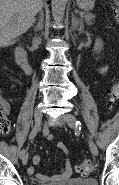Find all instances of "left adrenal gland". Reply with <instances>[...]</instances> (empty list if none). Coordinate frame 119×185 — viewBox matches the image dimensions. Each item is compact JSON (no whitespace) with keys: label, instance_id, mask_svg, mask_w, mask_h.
<instances>
[{"label":"left adrenal gland","instance_id":"1","mask_svg":"<svg viewBox=\"0 0 119 185\" xmlns=\"http://www.w3.org/2000/svg\"><path fill=\"white\" fill-rule=\"evenodd\" d=\"M72 23L75 30L77 29L79 33L83 32V21L81 18L78 19L72 15Z\"/></svg>","mask_w":119,"mask_h":185}]
</instances>
